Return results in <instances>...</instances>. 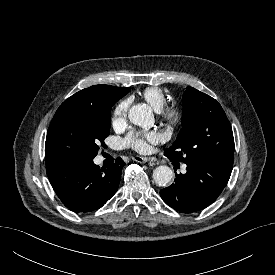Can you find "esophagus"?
Wrapping results in <instances>:
<instances>
[{
	"label": "esophagus",
	"instance_id": "obj_1",
	"mask_svg": "<svg viewBox=\"0 0 275 275\" xmlns=\"http://www.w3.org/2000/svg\"><path fill=\"white\" fill-rule=\"evenodd\" d=\"M155 158H150V157H142V156H135L134 161L138 163H147V162H155Z\"/></svg>",
	"mask_w": 275,
	"mask_h": 275
}]
</instances>
